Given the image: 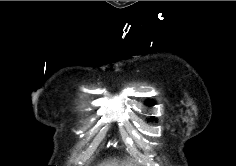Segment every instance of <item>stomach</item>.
<instances>
[{"instance_id":"0dacf381","label":"stomach","mask_w":236,"mask_h":166,"mask_svg":"<svg viewBox=\"0 0 236 166\" xmlns=\"http://www.w3.org/2000/svg\"><path fill=\"white\" fill-rule=\"evenodd\" d=\"M120 166H128V165H125V164L122 163Z\"/></svg>"}]
</instances>
